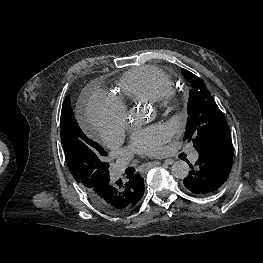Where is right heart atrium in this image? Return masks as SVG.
Returning <instances> with one entry per match:
<instances>
[{"mask_svg": "<svg viewBox=\"0 0 263 263\" xmlns=\"http://www.w3.org/2000/svg\"><path fill=\"white\" fill-rule=\"evenodd\" d=\"M87 121L102 143L109 144L127 127V110L105 92L93 93L86 110Z\"/></svg>", "mask_w": 263, "mask_h": 263, "instance_id": "d8ad5b80", "label": "right heart atrium"}]
</instances>
